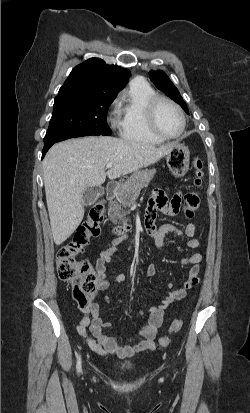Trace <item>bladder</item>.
<instances>
[{
	"mask_svg": "<svg viewBox=\"0 0 250 413\" xmlns=\"http://www.w3.org/2000/svg\"><path fill=\"white\" fill-rule=\"evenodd\" d=\"M130 368H131V366L127 365V364H122L118 367L119 371H121V372L128 371Z\"/></svg>",
	"mask_w": 250,
	"mask_h": 413,
	"instance_id": "obj_1",
	"label": "bladder"
}]
</instances>
